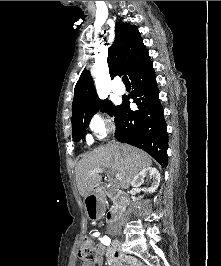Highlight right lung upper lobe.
Here are the masks:
<instances>
[{"label": "right lung upper lobe", "mask_w": 221, "mask_h": 266, "mask_svg": "<svg viewBox=\"0 0 221 266\" xmlns=\"http://www.w3.org/2000/svg\"><path fill=\"white\" fill-rule=\"evenodd\" d=\"M148 61L149 54L137 27L126 22H117L115 40L108 49L107 58L111 78L121 74L130 76L135 69ZM99 100L91 74L84 69L74 89L72 118L89 112Z\"/></svg>", "instance_id": "cb5924a9"}]
</instances>
